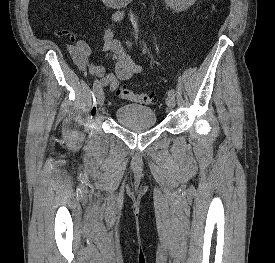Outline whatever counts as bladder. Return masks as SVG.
Instances as JSON below:
<instances>
[{"label": "bladder", "instance_id": "bladder-1", "mask_svg": "<svg viewBox=\"0 0 275 263\" xmlns=\"http://www.w3.org/2000/svg\"><path fill=\"white\" fill-rule=\"evenodd\" d=\"M117 122L126 128L138 130L153 127L156 113L153 109L140 105H123L116 109Z\"/></svg>", "mask_w": 275, "mask_h": 263}]
</instances>
